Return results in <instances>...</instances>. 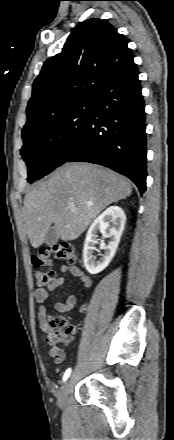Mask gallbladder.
Masks as SVG:
<instances>
[{
  "label": "gallbladder",
  "instance_id": "obj_1",
  "mask_svg": "<svg viewBox=\"0 0 174 440\" xmlns=\"http://www.w3.org/2000/svg\"><path fill=\"white\" fill-rule=\"evenodd\" d=\"M58 234L54 226H51L45 236V243L51 247L55 245L58 241Z\"/></svg>",
  "mask_w": 174,
  "mask_h": 440
}]
</instances>
